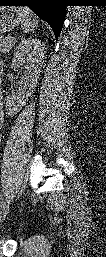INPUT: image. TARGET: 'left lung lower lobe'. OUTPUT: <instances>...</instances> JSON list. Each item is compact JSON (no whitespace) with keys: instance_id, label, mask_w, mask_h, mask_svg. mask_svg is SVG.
<instances>
[{"instance_id":"1","label":"left lung lower lobe","mask_w":106,"mask_h":257,"mask_svg":"<svg viewBox=\"0 0 106 257\" xmlns=\"http://www.w3.org/2000/svg\"><path fill=\"white\" fill-rule=\"evenodd\" d=\"M0 4L30 7L51 26L56 39L58 38L66 15L64 0H0Z\"/></svg>"}]
</instances>
